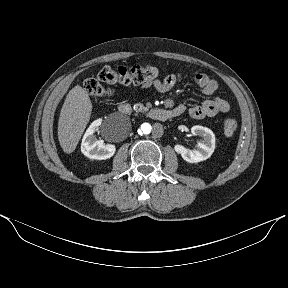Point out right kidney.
<instances>
[{
  "instance_id": "1",
  "label": "right kidney",
  "mask_w": 288,
  "mask_h": 288,
  "mask_svg": "<svg viewBox=\"0 0 288 288\" xmlns=\"http://www.w3.org/2000/svg\"><path fill=\"white\" fill-rule=\"evenodd\" d=\"M102 119H97L86 130L82 143L81 152L88 158L93 160H106L111 158L115 152L116 147L112 144H104L103 140L96 138L95 132L101 127Z\"/></svg>"
}]
</instances>
